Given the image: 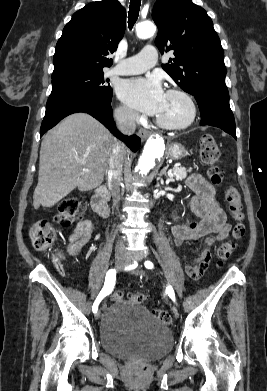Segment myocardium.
I'll list each match as a JSON object with an SVG mask.
<instances>
[{"label": "myocardium", "mask_w": 267, "mask_h": 391, "mask_svg": "<svg viewBox=\"0 0 267 391\" xmlns=\"http://www.w3.org/2000/svg\"><path fill=\"white\" fill-rule=\"evenodd\" d=\"M167 94L180 96L186 102L189 109V114L187 119L181 123H171L157 117L156 118L157 124L169 130H183L191 126L197 117V107L192 96L185 90L179 88L169 89L167 91Z\"/></svg>", "instance_id": "1"}]
</instances>
